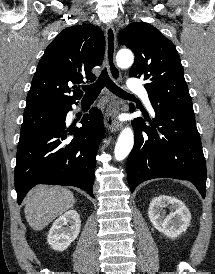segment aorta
<instances>
[{
	"instance_id": "obj_1",
	"label": "aorta",
	"mask_w": 215,
	"mask_h": 274,
	"mask_svg": "<svg viewBox=\"0 0 215 274\" xmlns=\"http://www.w3.org/2000/svg\"><path fill=\"white\" fill-rule=\"evenodd\" d=\"M134 57L131 51L122 49L117 53L116 62L120 68H128L133 64ZM134 144V135L131 128L127 127L122 130L115 146V158L123 160L132 150Z\"/></svg>"
}]
</instances>
